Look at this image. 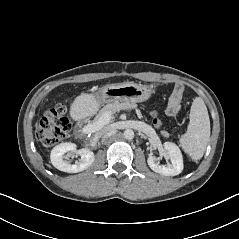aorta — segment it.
Returning a JSON list of instances; mask_svg holds the SVG:
<instances>
[{
    "label": "aorta",
    "instance_id": "obj_1",
    "mask_svg": "<svg viewBox=\"0 0 239 239\" xmlns=\"http://www.w3.org/2000/svg\"><path fill=\"white\" fill-rule=\"evenodd\" d=\"M124 137L127 140H132L134 138V132L132 129H126L124 131Z\"/></svg>",
    "mask_w": 239,
    "mask_h": 239
}]
</instances>
